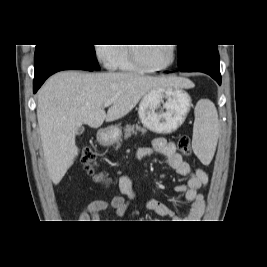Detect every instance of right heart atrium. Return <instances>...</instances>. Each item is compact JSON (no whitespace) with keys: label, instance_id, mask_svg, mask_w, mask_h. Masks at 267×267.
I'll return each instance as SVG.
<instances>
[{"label":"right heart atrium","instance_id":"right-heart-atrium-1","mask_svg":"<svg viewBox=\"0 0 267 267\" xmlns=\"http://www.w3.org/2000/svg\"><path fill=\"white\" fill-rule=\"evenodd\" d=\"M116 51V46L112 44L101 43L95 45V55L97 59L108 69L114 68Z\"/></svg>","mask_w":267,"mask_h":267}]
</instances>
